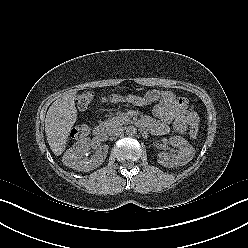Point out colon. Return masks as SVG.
<instances>
[{"label":"colon","instance_id":"5ec220e1","mask_svg":"<svg viewBox=\"0 0 248 248\" xmlns=\"http://www.w3.org/2000/svg\"><path fill=\"white\" fill-rule=\"evenodd\" d=\"M128 97L121 95H111L103 98L106 102H118V101H127ZM93 101V94L90 92H85L77 97V106L80 110L87 109ZM90 127L87 124H82L74 127L71 131V136L73 138H83L88 135ZM189 135L191 138H196L198 135V124L193 123L189 128Z\"/></svg>","mask_w":248,"mask_h":248}]
</instances>
